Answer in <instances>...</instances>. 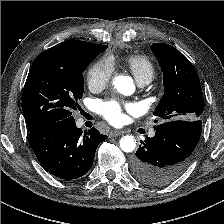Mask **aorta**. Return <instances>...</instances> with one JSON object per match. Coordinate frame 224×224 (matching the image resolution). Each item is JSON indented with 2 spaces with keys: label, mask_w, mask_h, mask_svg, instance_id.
<instances>
[{
  "label": "aorta",
  "mask_w": 224,
  "mask_h": 224,
  "mask_svg": "<svg viewBox=\"0 0 224 224\" xmlns=\"http://www.w3.org/2000/svg\"><path fill=\"white\" fill-rule=\"evenodd\" d=\"M114 88L124 94L130 95L135 90V85L133 84L132 79L126 75L116 76L113 80ZM120 148L124 152H132L136 147V140L133 136L125 135L120 139Z\"/></svg>",
  "instance_id": "obj_1"
}]
</instances>
